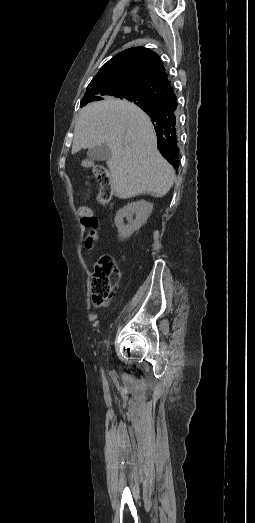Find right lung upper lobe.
<instances>
[{"instance_id":"right-lung-upper-lobe-1","label":"right lung upper lobe","mask_w":255,"mask_h":523,"mask_svg":"<svg viewBox=\"0 0 255 523\" xmlns=\"http://www.w3.org/2000/svg\"><path fill=\"white\" fill-rule=\"evenodd\" d=\"M128 89L141 90L152 97L153 104L149 108L142 107L140 102L134 103L150 116L155 125L158 149L177 169V97L160 57L152 50L134 47L110 59L89 83L81 106Z\"/></svg>"}]
</instances>
